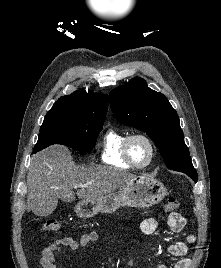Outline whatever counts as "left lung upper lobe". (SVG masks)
<instances>
[{"instance_id": "obj_1", "label": "left lung upper lobe", "mask_w": 221, "mask_h": 268, "mask_svg": "<svg viewBox=\"0 0 221 268\" xmlns=\"http://www.w3.org/2000/svg\"><path fill=\"white\" fill-rule=\"evenodd\" d=\"M109 98L116 119L146 132L169 169L180 172L195 169L177 112L162 93L151 90L145 80L135 77L112 90Z\"/></svg>"}]
</instances>
